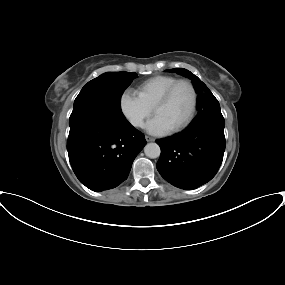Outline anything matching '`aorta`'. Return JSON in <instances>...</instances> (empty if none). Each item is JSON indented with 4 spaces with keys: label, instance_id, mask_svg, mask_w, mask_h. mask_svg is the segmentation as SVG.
I'll return each mask as SVG.
<instances>
[{
    "label": "aorta",
    "instance_id": "aorta-1",
    "mask_svg": "<svg viewBox=\"0 0 285 285\" xmlns=\"http://www.w3.org/2000/svg\"><path fill=\"white\" fill-rule=\"evenodd\" d=\"M144 153L147 157L154 159L160 156L161 150L158 144L156 143H148L144 147Z\"/></svg>",
    "mask_w": 285,
    "mask_h": 285
}]
</instances>
